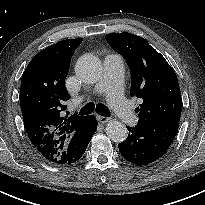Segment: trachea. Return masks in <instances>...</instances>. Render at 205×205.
<instances>
[{"mask_svg": "<svg viewBox=\"0 0 205 205\" xmlns=\"http://www.w3.org/2000/svg\"><path fill=\"white\" fill-rule=\"evenodd\" d=\"M95 109L102 116L109 117L111 115L110 110L106 106L102 104H97L95 108V105L92 102L82 107L79 113L81 115H87V114H91Z\"/></svg>", "mask_w": 205, "mask_h": 205, "instance_id": "1", "label": "trachea"}]
</instances>
